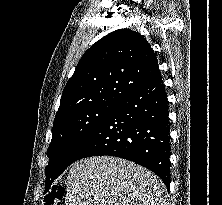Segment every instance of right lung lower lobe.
<instances>
[{
  "label": "right lung lower lobe",
  "mask_w": 222,
  "mask_h": 205,
  "mask_svg": "<svg viewBox=\"0 0 222 205\" xmlns=\"http://www.w3.org/2000/svg\"><path fill=\"white\" fill-rule=\"evenodd\" d=\"M98 155L140 164L169 186L168 102L161 75L122 98L84 144L75 161Z\"/></svg>",
  "instance_id": "1"
}]
</instances>
